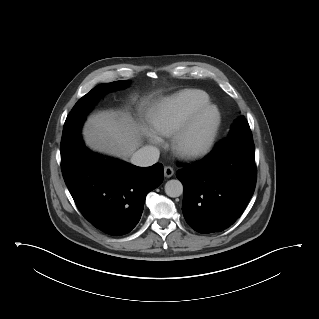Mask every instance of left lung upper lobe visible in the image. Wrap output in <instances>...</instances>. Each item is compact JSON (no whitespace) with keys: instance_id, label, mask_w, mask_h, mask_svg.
<instances>
[{"instance_id":"1","label":"left lung upper lobe","mask_w":319,"mask_h":319,"mask_svg":"<svg viewBox=\"0 0 319 319\" xmlns=\"http://www.w3.org/2000/svg\"><path fill=\"white\" fill-rule=\"evenodd\" d=\"M232 138H240L253 141L249 124L247 120L244 118V116H240L235 120V122L231 126V131L228 137L224 140Z\"/></svg>"}]
</instances>
